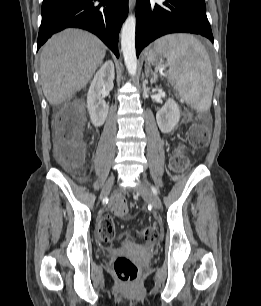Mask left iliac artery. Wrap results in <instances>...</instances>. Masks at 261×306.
I'll list each match as a JSON object with an SVG mask.
<instances>
[{
  "instance_id": "obj_1",
  "label": "left iliac artery",
  "mask_w": 261,
  "mask_h": 306,
  "mask_svg": "<svg viewBox=\"0 0 261 306\" xmlns=\"http://www.w3.org/2000/svg\"><path fill=\"white\" fill-rule=\"evenodd\" d=\"M151 188H152L153 193L157 194V190L154 187H151Z\"/></svg>"
}]
</instances>
